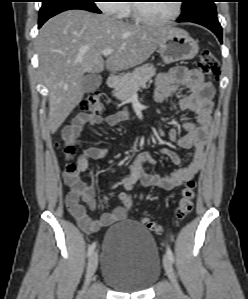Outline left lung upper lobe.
<instances>
[{"mask_svg": "<svg viewBox=\"0 0 248 299\" xmlns=\"http://www.w3.org/2000/svg\"><path fill=\"white\" fill-rule=\"evenodd\" d=\"M182 13L179 17L184 22L201 17H217L214 0H183Z\"/></svg>", "mask_w": 248, "mask_h": 299, "instance_id": "obj_1", "label": "left lung upper lobe"}]
</instances>
